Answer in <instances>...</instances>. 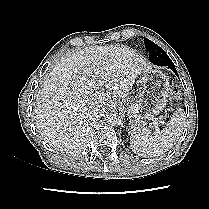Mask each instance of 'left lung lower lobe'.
<instances>
[{
	"mask_svg": "<svg viewBox=\"0 0 209 209\" xmlns=\"http://www.w3.org/2000/svg\"><path fill=\"white\" fill-rule=\"evenodd\" d=\"M172 70H173V72L178 76V73H177L176 69L174 68V69H172Z\"/></svg>",
	"mask_w": 209,
	"mask_h": 209,
	"instance_id": "obj_1",
	"label": "left lung lower lobe"
}]
</instances>
